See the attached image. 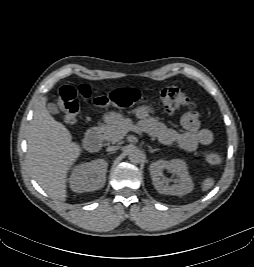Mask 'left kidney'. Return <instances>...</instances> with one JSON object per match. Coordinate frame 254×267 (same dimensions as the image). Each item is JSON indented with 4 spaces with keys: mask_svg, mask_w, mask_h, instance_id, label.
I'll use <instances>...</instances> for the list:
<instances>
[{
    "mask_svg": "<svg viewBox=\"0 0 254 267\" xmlns=\"http://www.w3.org/2000/svg\"><path fill=\"white\" fill-rule=\"evenodd\" d=\"M167 170L177 176L176 184L167 185L163 171ZM150 175L154 188L162 194L182 196L193 190V182L188 173L186 163L181 159L171 161L158 160L150 165Z\"/></svg>",
    "mask_w": 254,
    "mask_h": 267,
    "instance_id": "5707ae66",
    "label": "left kidney"
}]
</instances>
